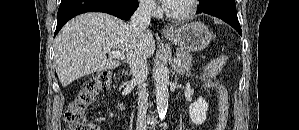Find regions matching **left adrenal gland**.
<instances>
[{"label": "left adrenal gland", "mask_w": 299, "mask_h": 130, "mask_svg": "<svg viewBox=\"0 0 299 130\" xmlns=\"http://www.w3.org/2000/svg\"><path fill=\"white\" fill-rule=\"evenodd\" d=\"M174 73H177V74H180V75H183L185 72L181 69H178L176 66H174Z\"/></svg>", "instance_id": "a2214340"}]
</instances>
